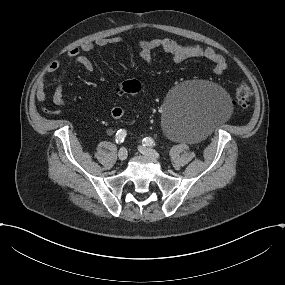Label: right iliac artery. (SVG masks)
Segmentation results:
<instances>
[{
  "label": "right iliac artery",
  "mask_w": 285,
  "mask_h": 285,
  "mask_svg": "<svg viewBox=\"0 0 285 285\" xmlns=\"http://www.w3.org/2000/svg\"><path fill=\"white\" fill-rule=\"evenodd\" d=\"M127 133H126V130H118L117 133H116V138H115V141L117 144H120L124 141L125 137H126Z\"/></svg>",
  "instance_id": "1"
}]
</instances>
